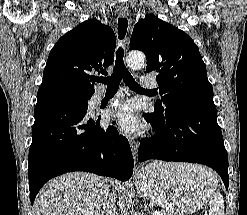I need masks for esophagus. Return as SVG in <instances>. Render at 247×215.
<instances>
[{
  "label": "esophagus",
  "instance_id": "obj_1",
  "mask_svg": "<svg viewBox=\"0 0 247 215\" xmlns=\"http://www.w3.org/2000/svg\"><path fill=\"white\" fill-rule=\"evenodd\" d=\"M118 15L122 18L128 17L129 11L127 8H121L118 10ZM126 43H127V38H125L122 41V46L125 47ZM130 145H131V150H132L134 161L136 162V156H137V150L139 147V143L134 138L131 137L130 138Z\"/></svg>",
  "mask_w": 247,
  "mask_h": 215
}]
</instances>
